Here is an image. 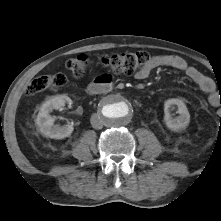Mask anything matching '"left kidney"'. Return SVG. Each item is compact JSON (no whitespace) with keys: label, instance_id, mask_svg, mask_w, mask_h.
<instances>
[{"label":"left kidney","instance_id":"obj_1","mask_svg":"<svg viewBox=\"0 0 221 221\" xmlns=\"http://www.w3.org/2000/svg\"><path fill=\"white\" fill-rule=\"evenodd\" d=\"M177 107L179 116L172 117L169 110ZM164 123L170 130L181 132L187 128L190 122V114L185 103L178 98H171L164 102Z\"/></svg>","mask_w":221,"mask_h":221}]
</instances>
